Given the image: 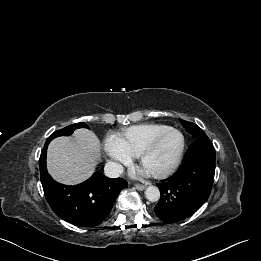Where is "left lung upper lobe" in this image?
<instances>
[{"mask_svg": "<svg viewBox=\"0 0 261 261\" xmlns=\"http://www.w3.org/2000/svg\"><path fill=\"white\" fill-rule=\"evenodd\" d=\"M180 122L185 127L186 131L189 132L193 136L194 140L202 135H205L204 131L200 127H198L196 124L185 121V120H180Z\"/></svg>", "mask_w": 261, "mask_h": 261, "instance_id": "obj_1", "label": "left lung upper lobe"}]
</instances>
